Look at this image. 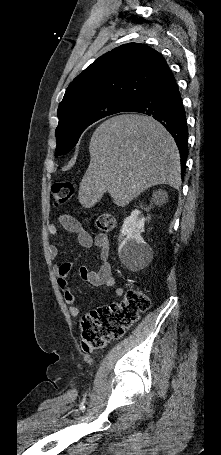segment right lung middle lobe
Here are the masks:
<instances>
[{
	"mask_svg": "<svg viewBox=\"0 0 221 455\" xmlns=\"http://www.w3.org/2000/svg\"><path fill=\"white\" fill-rule=\"evenodd\" d=\"M126 107V105L119 102L105 101L84 106L58 117L55 156L68 153L76 145L81 134L89 125L106 116L123 112Z\"/></svg>",
	"mask_w": 221,
	"mask_h": 455,
	"instance_id": "dd1d6c3e",
	"label": "right lung middle lobe"
}]
</instances>
